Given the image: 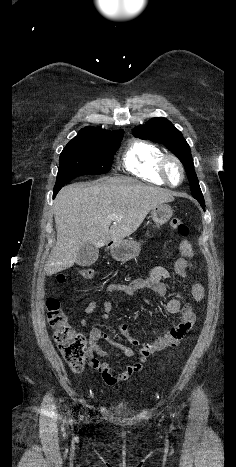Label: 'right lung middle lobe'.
Wrapping results in <instances>:
<instances>
[{"label": "right lung middle lobe", "instance_id": "dd1d6c3e", "mask_svg": "<svg viewBox=\"0 0 236 467\" xmlns=\"http://www.w3.org/2000/svg\"><path fill=\"white\" fill-rule=\"evenodd\" d=\"M123 134L77 135L60 154L55 186H64L81 175L107 173Z\"/></svg>", "mask_w": 236, "mask_h": 467}]
</instances>
